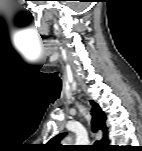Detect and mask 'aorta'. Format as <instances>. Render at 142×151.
Instances as JSON below:
<instances>
[{"label":"aorta","mask_w":142,"mask_h":151,"mask_svg":"<svg viewBox=\"0 0 142 151\" xmlns=\"http://www.w3.org/2000/svg\"><path fill=\"white\" fill-rule=\"evenodd\" d=\"M71 141V138L70 137H66L64 140H63V143H69Z\"/></svg>","instance_id":"1"}]
</instances>
